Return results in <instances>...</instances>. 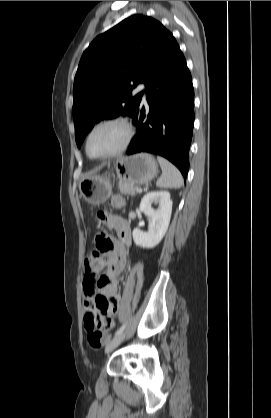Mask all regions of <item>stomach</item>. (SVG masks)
I'll return each mask as SVG.
<instances>
[{"mask_svg": "<svg viewBox=\"0 0 271 418\" xmlns=\"http://www.w3.org/2000/svg\"><path fill=\"white\" fill-rule=\"evenodd\" d=\"M118 178L133 184H147L158 172L155 158L147 153H140L117 160L114 164ZM84 199L92 205L104 203L110 196L112 185L107 174H92L79 183Z\"/></svg>", "mask_w": 271, "mask_h": 418, "instance_id": "1", "label": "stomach"}]
</instances>
